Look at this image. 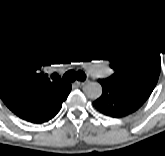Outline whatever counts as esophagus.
I'll list each match as a JSON object with an SVG mask.
<instances>
[{
  "label": "esophagus",
  "instance_id": "esophagus-1",
  "mask_svg": "<svg viewBox=\"0 0 165 156\" xmlns=\"http://www.w3.org/2000/svg\"><path fill=\"white\" fill-rule=\"evenodd\" d=\"M86 84V81H75L74 83H73V85L74 86H77V87H81V86H83V85H85Z\"/></svg>",
  "mask_w": 165,
  "mask_h": 156
}]
</instances>
